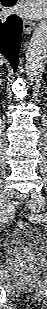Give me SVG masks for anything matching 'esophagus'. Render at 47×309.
Masks as SVG:
<instances>
[{"instance_id":"1","label":"esophagus","mask_w":47,"mask_h":309,"mask_svg":"<svg viewBox=\"0 0 47 309\" xmlns=\"http://www.w3.org/2000/svg\"><path fill=\"white\" fill-rule=\"evenodd\" d=\"M35 23L33 21H29L24 19L23 21V30L26 34H30L31 31L34 29Z\"/></svg>"}]
</instances>
